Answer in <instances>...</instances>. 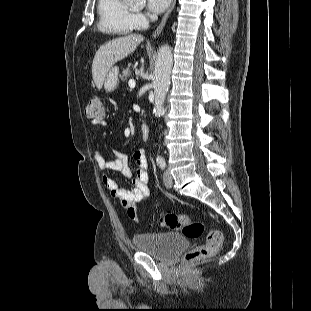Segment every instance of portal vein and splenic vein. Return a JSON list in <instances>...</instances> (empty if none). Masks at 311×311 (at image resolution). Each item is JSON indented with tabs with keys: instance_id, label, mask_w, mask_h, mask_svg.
<instances>
[{
	"instance_id": "18ae733b",
	"label": "portal vein and splenic vein",
	"mask_w": 311,
	"mask_h": 311,
	"mask_svg": "<svg viewBox=\"0 0 311 311\" xmlns=\"http://www.w3.org/2000/svg\"><path fill=\"white\" fill-rule=\"evenodd\" d=\"M135 85H136L135 80H134V79H130V80H129V86H130L131 88H134Z\"/></svg>"
}]
</instances>
